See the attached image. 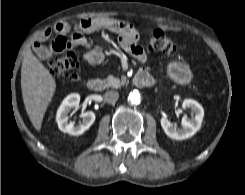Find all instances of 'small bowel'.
Instances as JSON below:
<instances>
[{"label":"small bowel","instance_id":"c3829d8e","mask_svg":"<svg viewBox=\"0 0 245 195\" xmlns=\"http://www.w3.org/2000/svg\"><path fill=\"white\" fill-rule=\"evenodd\" d=\"M98 30H108L116 33L119 45L123 50L136 58L140 63L147 61V54L139 45L137 29L129 22L110 17L83 19L78 25V32L74 33L71 39L66 37L69 25L66 22H59L52 30L48 29L43 33L41 39L34 43L33 50L38 56L45 57L52 53L62 52L68 48L85 47L88 50L83 55V61L93 65L100 64L105 59L104 53L99 48L93 47L84 35V33ZM52 32H55L57 36L50 45H45L44 41L50 37Z\"/></svg>","mask_w":245,"mask_h":195}]
</instances>
